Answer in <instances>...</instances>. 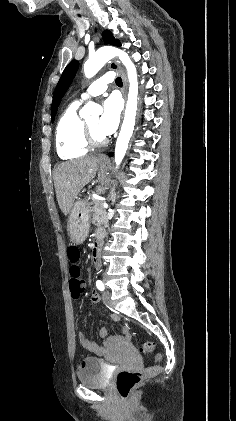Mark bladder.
<instances>
[{
	"mask_svg": "<svg viewBox=\"0 0 236 421\" xmlns=\"http://www.w3.org/2000/svg\"><path fill=\"white\" fill-rule=\"evenodd\" d=\"M103 360L98 358H85L77 367V382L86 385L92 389L99 390L106 388V374L102 371Z\"/></svg>",
	"mask_w": 236,
	"mask_h": 421,
	"instance_id": "31cf9c89",
	"label": "bladder"
}]
</instances>
